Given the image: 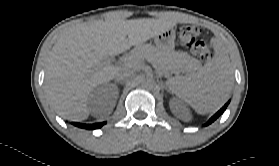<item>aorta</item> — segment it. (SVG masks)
<instances>
[{"instance_id": "obj_1", "label": "aorta", "mask_w": 279, "mask_h": 166, "mask_svg": "<svg viewBox=\"0 0 279 166\" xmlns=\"http://www.w3.org/2000/svg\"><path fill=\"white\" fill-rule=\"evenodd\" d=\"M154 85V80L152 78H145L143 81H142V86L144 87H152Z\"/></svg>"}]
</instances>
